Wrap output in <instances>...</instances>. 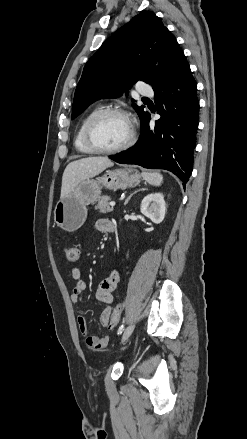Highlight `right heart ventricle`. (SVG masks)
<instances>
[{
    "instance_id": "obj_1",
    "label": "right heart ventricle",
    "mask_w": 247,
    "mask_h": 439,
    "mask_svg": "<svg viewBox=\"0 0 247 439\" xmlns=\"http://www.w3.org/2000/svg\"><path fill=\"white\" fill-rule=\"evenodd\" d=\"M101 108L100 107H95L93 109H91L89 112H87L84 117L81 119L78 128L75 132V136H74V146L76 148V150L80 153L83 154H92L94 153L86 144L84 141V129L85 126L87 124V122L89 121V119L96 114L98 111H100Z\"/></svg>"
}]
</instances>
